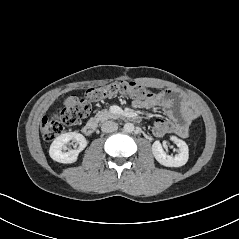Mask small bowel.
Returning a JSON list of instances; mask_svg holds the SVG:
<instances>
[{
  "instance_id": "1",
  "label": "small bowel",
  "mask_w": 239,
  "mask_h": 239,
  "mask_svg": "<svg viewBox=\"0 0 239 239\" xmlns=\"http://www.w3.org/2000/svg\"><path fill=\"white\" fill-rule=\"evenodd\" d=\"M133 106L135 108L161 109L169 118L168 133H173L182 138L188 136L189 126L198 116L196 108L188 100L181 98L178 93L172 90H164L152 100L135 98Z\"/></svg>"
}]
</instances>
